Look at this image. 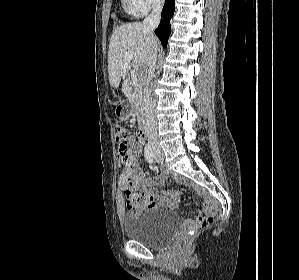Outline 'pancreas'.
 Wrapping results in <instances>:
<instances>
[{
  "instance_id": "cf45deb5",
  "label": "pancreas",
  "mask_w": 299,
  "mask_h": 280,
  "mask_svg": "<svg viewBox=\"0 0 299 280\" xmlns=\"http://www.w3.org/2000/svg\"><path fill=\"white\" fill-rule=\"evenodd\" d=\"M129 100L134 112L138 115L137 121L139 124H141L144 113V97L142 87H135L130 94Z\"/></svg>"
}]
</instances>
